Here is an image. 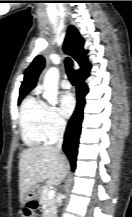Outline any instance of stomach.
Segmentation results:
<instances>
[{
	"label": "stomach",
	"mask_w": 132,
	"mask_h": 217,
	"mask_svg": "<svg viewBox=\"0 0 132 217\" xmlns=\"http://www.w3.org/2000/svg\"><path fill=\"white\" fill-rule=\"evenodd\" d=\"M41 194V187L40 185H34L32 186L29 191L26 193L25 198H24V202H30L33 200H37L40 197Z\"/></svg>",
	"instance_id": "1"
}]
</instances>
